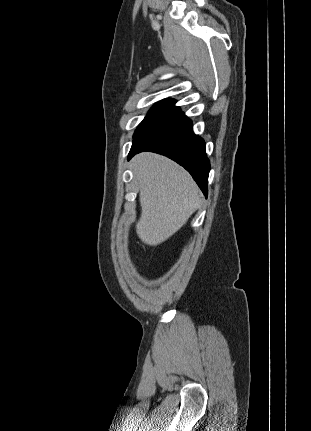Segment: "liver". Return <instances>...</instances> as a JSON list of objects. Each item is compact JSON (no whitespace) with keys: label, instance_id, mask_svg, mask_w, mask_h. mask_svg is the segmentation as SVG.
<instances>
[{"label":"liver","instance_id":"6515ba94","mask_svg":"<svg viewBox=\"0 0 311 431\" xmlns=\"http://www.w3.org/2000/svg\"><path fill=\"white\" fill-rule=\"evenodd\" d=\"M131 170L142 210L136 233L143 243L158 245L200 208L199 188L184 168L158 154H138Z\"/></svg>","mask_w":311,"mask_h":431}]
</instances>
